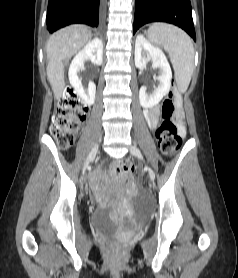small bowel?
Masks as SVG:
<instances>
[{"mask_svg": "<svg viewBox=\"0 0 238 278\" xmlns=\"http://www.w3.org/2000/svg\"><path fill=\"white\" fill-rule=\"evenodd\" d=\"M145 117L146 120L148 122V125L150 126V128H155L158 124V120H159V115H160V111L158 107H153L151 109H147L145 110ZM181 115L180 113H178V118H180ZM179 129H180V133L183 134L184 132V128L182 126V124H179Z\"/></svg>", "mask_w": 238, "mask_h": 278, "instance_id": "1", "label": "small bowel"}]
</instances>
